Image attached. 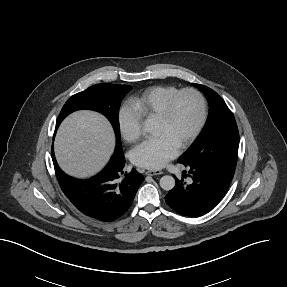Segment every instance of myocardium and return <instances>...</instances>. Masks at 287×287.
<instances>
[{
  "mask_svg": "<svg viewBox=\"0 0 287 287\" xmlns=\"http://www.w3.org/2000/svg\"><path fill=\"white\" fill-rule=\"evenodd\" d=\"M185 94H191L196 98L199 104L200 114H199V119L195 127L193 128L191 133L188 135V137L178 147L179 150L181 151L188 148L196 140V138L199 136L200 132L202 131L206 123L207 103H206V100L203 94L199 90L194 89V88H185L182 90H178L175 94H173L171 97L168 98L161 113L156 117L157 122L166 124L171 118L173 107L176 101Z\"/></svg>",
  "mask_w": 287,
  "mask_h": 287,
  "instance_id": "obj_1",
  "label": "myocardium"
}]
</instances>
